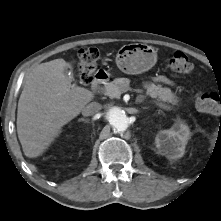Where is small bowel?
<instances>
[{
    "instance_id": "obj_1",
    "label": "small bowel",
    "mask_w": 221,
    "mask_h": 221,
    "mask_svg": "<svg viewBox=\"0 0 221 221\" xmlns=\"http://www.w3.org/2000/svg\"><path fill=\"white\" fill-rule=\"evenodd\" d=\"M154 82H159V83H163V84H167V85H172L173 82L165 75H159V76H156L154 79H153Z\"/></svg>"
}]
</instances>
